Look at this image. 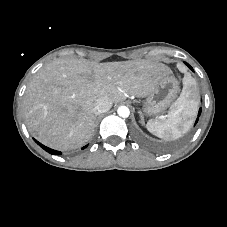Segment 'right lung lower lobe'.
Segmentation results:
<instances>
[{"mask_svg": "<svg viewBox=\"0 0 227 227\" xmlns=\"http://www.w3.org/2000/svg\"><path fill=\"white\" fill-rule=\"evenodd\" d=\"M34 140H35V139H34ZM35 142H36L39 146H41L45 151H47V152H49V153H51V154H57V155H60V154H61L60 151H56V150L50 149V148H48V147L42 145L41 143H39V142L36 141V140H35ZM85 147H86V146H85ZM85 147H83L82 149H84Z\"/></svg>", "mask_w": 227, "mask_h": 227, "instance_id": "1", "label": "right lung lower lobe"}]
</instances>
